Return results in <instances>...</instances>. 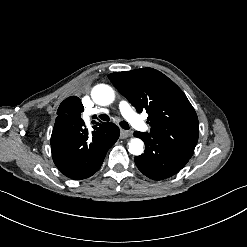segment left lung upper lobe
I'll return each instance as SVG.
<instances>
[{
	"instance_id": "5c2ea615",
	"label": "left lung upper lobe",
	"mask_w": 247,
	"mask_h": 247,
	"mask_svg": "<svg viewBox=\"0 0 247 247\" xmlns=\"http://www.w3.org/2000/svg\"><path fill=\"white\" fill-rule=\"evenodd\" d=\"M108 78L139 113L145 109L149 114L151 131L143 134L192 157L198 141V118L186 95L172 80L153 68L115 72Z\"/></svg>"
}]
</instances>
